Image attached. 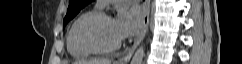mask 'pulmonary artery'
<instances>
[{"instance_id": "1", "label": "pulmonary artery", "mask_w": 242, "mask_h": 64, "mask_svg": "<svg viewBox=\"0 0 242 64\" xmlns=\"http://www.w3.org/2000/svg\"><path fill=\"white\" fill-rule=\"evenodd\" d=\"M116 3V2H121V0H99V1H97V6L99 7V8H104V7H106V6H108V4L109 3Z\"/></svg>"}]
</instances>
